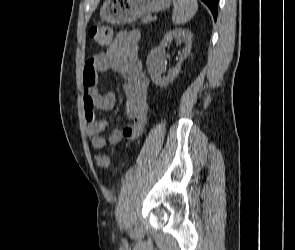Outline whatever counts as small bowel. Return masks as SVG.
I'll return each instance as SVG.
<instances>
[{
  "label": "small bowel",
  "instance_id": "1",
  "mask_svg": "<svg viewBox=\"0 0 295 250\" xmlns=\"http://www.w3.org/2000/svg\"><path fill=\"white\" fill-rule=\"evenodd\" d=\"M139 39L140 33L136 30L121 31L104 52L89 59L85 64L83 71L85 123L90 144L96 149L115 145L123 138L136 139L146 125L149 110V80L138 58ZM109 69L117 71L124 79L125 112L130 123L105 137L101 133L108 121L98 117L97 112L111 110L116 98L111 92L101 94L97 87V80L99 73Z\"/></svg>",
  "mask_w": 295,
  "mask_h": 250
}]
</instances>
